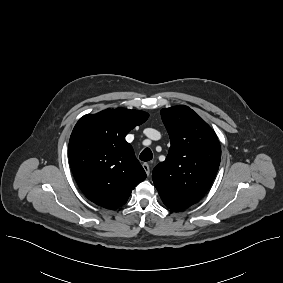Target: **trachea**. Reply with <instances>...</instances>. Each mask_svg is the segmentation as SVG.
Here are the masks:
<instances>
[{
    "mask_svg": "<svg viewBox=\"0 0 283 283\" xmlns=\"http://www.w3.org/2000/svg\"><path fill=\"white\" fill-rule=\"evenodd\" d=\"M139 158L142 161H150L153 158V154L149 148H146L141 152Z\"/></svg>",
    "mask_w": 283,
    "mask_h": 283,
    "instance_id": "obj_1",
    "label": "trachea"
}]
</instances>
